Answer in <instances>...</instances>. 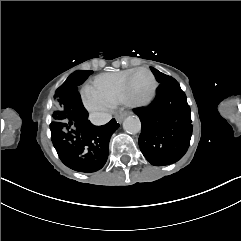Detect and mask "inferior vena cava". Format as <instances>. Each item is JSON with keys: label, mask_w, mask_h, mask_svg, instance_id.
Masks as SVG:
<instances>
[{"label": "inferior vena cava", "mask_w": 241, "mask_h": 241, "mask_svg": "<svg viewBox=\"0 0 241 241\" xmlns=\"http://www.w3.org/2000/svg\"><path fill=\"white\" fill-rule=\"evenodd\" d=\"M112 119L111 114L109 113H102V112H95L89 115V120L92 124L100 126L108 123Z\"/></svg>", "instance_id": "obj_1"}]
</instances>
